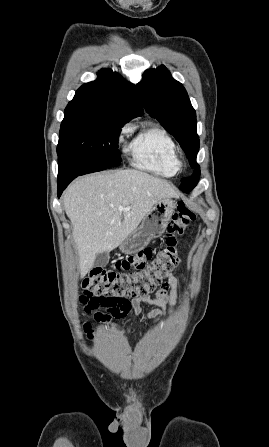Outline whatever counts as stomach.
<instances>
[{"label": "stomach", "mask_w": 269, "mask_h": 447, "mask_svg": "<svg viewBox=\"0 0 269 447\" xmlns=\"http://www.w3.org/2000/svg\"><path fill=\"white\" fill-rule=\"evenodd\" d=\"M176 208L175 200L165 198L159 200L151 208L150 212L143 218V222L134 231L129 233L128 237L120 243L119 247L124 253H136L148 245L150 239L159 237L164 233L168 222Z\"/></svg>", "instance_id": "1"}]
</instances>
